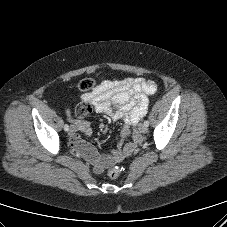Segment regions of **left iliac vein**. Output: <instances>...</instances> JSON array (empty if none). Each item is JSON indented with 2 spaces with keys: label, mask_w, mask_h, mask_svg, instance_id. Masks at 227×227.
Returning <instances> with one entry per match:
<instances>
[{
  "label": "left iliac vein",
  "mask_w": 227,
  "mask_h": 227,
  "mask_svg": "<svg viewBox=\"0 0 227 227\" xmlns=\"http://www.w3.org/2000/svg\"><path fill=\"white\" fill-rule=\"evenodd\" d=\"M139 131H140L142 134H145V133H147V131H148V127H147L146 125H144V124H141V125L139 126Z\"/></svg>",
  "instance_id": "4c4485c4"
}]
</instances>
